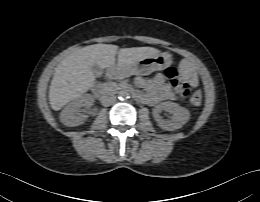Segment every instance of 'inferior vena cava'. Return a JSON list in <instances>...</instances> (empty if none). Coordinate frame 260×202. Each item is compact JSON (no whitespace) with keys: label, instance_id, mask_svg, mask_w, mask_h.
I'll list each match as a JSON object with an SVG mask.
<instances>
[{"label":"inferior vena cava","instance_id":"602c4592","mask_svg":"<svg viewBox=\"0 0 260 202\" xmlns=\"http://www.w3.org/2000/svg\"><path fill=\"white\" fill-rule=\"evenodd\" d=\"M116 101V96L113 94H108V95H104L101 98V103L103 106H110L111 104H113Z\"/></svg>","mask_w":260,"mask_h":202}]
</instances>
